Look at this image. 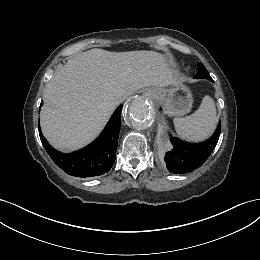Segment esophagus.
Instances as JSON below:
<instances>
[{
  "mask_svg": "<svg viewBox=\"0 0 260 260\" xmlns=\"http://www.w3.org/2000/svg\"><path fill=\"white\" fill-rule=\"evenodd\" d=\"M152 92L150 91V90H148V91H146L145 93H144V96L145 97H152Z\"/></svg>",
  "mask_w": 260,
  "mask_h": 260,
  "instance_id": "1",
  "label": "esophagus"
}]
</instances>
